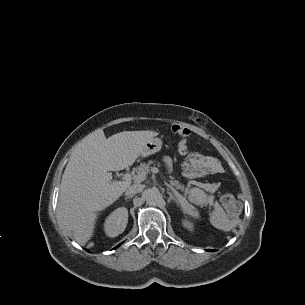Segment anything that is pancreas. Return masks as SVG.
Instances as JSON below:
<instances>
[{
  "instance_id": "obj_1",
  "label": "pancreas",
  "mask_w": 305,
  "mask_h": 305,
  "mask_svg": "<svg viewBox=\"0 0 305 305\" xmlns=\"http://www.w3.org/2000/svg\"><path fill=\"white\" fill-rule=\"evenodd\" d=\"M153 163L154 162L152 160L148 161V163H141L137 167L136 172L138 174L141 173L147 174L152 169L151 165ZM171 178L172 180L170 181V184L172 186H175L177 189H181V190L184 189V186L181 185L179 181L173 180L174 179L173 177ZM185 193L186 195H188V199L191 203H194L200 207L206 206L210 201V197L206 194V192L197 187H193L191 189H185Z\"/></svg>"
}]
</instances>
